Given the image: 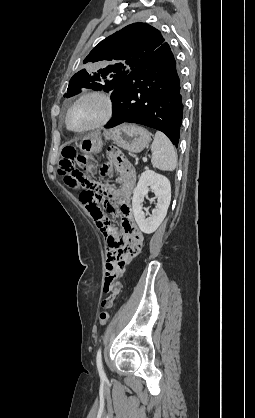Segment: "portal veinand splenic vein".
Instances as JSON below:
<instances>
[{
  "label": "portal vein and splenic vein",
  "mask_w": 255,
  "mask_h": 418,
  "mask_svg": "<svg viewBox=\"0 0 255 418\" xmlns=\"http://www.w3.org/2000/svg\"><path fill=\"white\" fill-rule=\"evenodd\" d=\"M147 159H146V157H143V161H146Z\"/></svg>",
  "instance_id": "obj_1"
}]
</instances>
